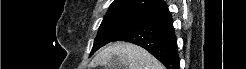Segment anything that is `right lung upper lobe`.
<instances>
[{"label":"right lung upper lobe","mask_w":246,"mask_h":69,"mask_svg":"<svg viewBox=\"0 0 246 69\" xmlns=\"http://www.w3.org/2000/svg\"><path fill=\"white\" fill-rule=\"evenodd\" d=\"M165 4L163 0H115L104 19L125 15H143L147 11Z\"/></svg>","instance_id":"right-lung-upper-lobe-1"}]
</instances>
